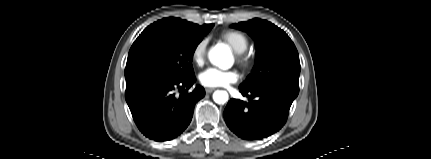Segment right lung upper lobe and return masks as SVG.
<instances>
[{"mask_svg": "<svg viewBox=\"0 0 431 159\" xmlns=\"http://www.w3.org/2000/svg\"><path fill=\"white\" fill-rule=\"evenodd\" d=\"M162 21L180 26V27L185 28L187 30H190L192 32H201L202 30H204L208 26V24L199 26L197 24H193V23L188 22L186 20H182L180 18H175V17L164 18V19H162Z\"/></svg>", "mask_w": 431, "mask_h": 159, "instance_id": "cb5924a9", "label": "right lung upper lobe"}]
</instances>
